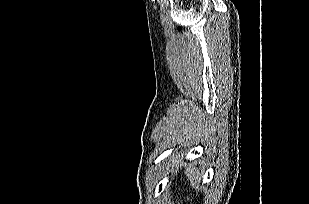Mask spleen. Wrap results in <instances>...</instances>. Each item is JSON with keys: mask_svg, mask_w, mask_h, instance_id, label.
Returning <instances> with one entry per match:
<instances>
[{"mask_svg": "<svg viewBox=\"0 0 309 204\" xmlns=\"http://www.w3.org/2000/svg\"><path fill=\"white\" fill-rule=\"evenodd\" d=\"M185 174L189 178L191 186L199 190L204 172L197 167L195 162L185 165Z\"/></svg>", "mask_w": 309, "mask_h": 204, "instance_id": "spleen-1", "label": "spleen"}]
</instances>
